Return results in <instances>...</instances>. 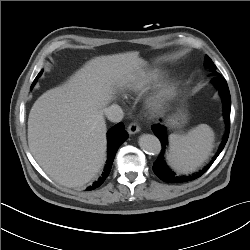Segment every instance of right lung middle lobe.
<instances>
[{
    "label": "right lung middle lobe",
    "mask_w": 250,
    "mask_h": 250,
    "mask_svg": "<svg viewBox=\"0 0 250 250\" xmlns=\"http://www.w3.org/2000/svg\"><path fill=\"white\" fill-rule=\"evenodd\" d=\"M42 72H43V70L38 74V76L36 77V79L34 80V82H33V84H32V86L36 83V81H37V79H38V77L42 74Z\"/></svg>",
    "instance_id": "dd1d6c3e"
}]
</instances>
